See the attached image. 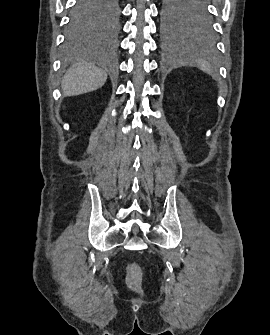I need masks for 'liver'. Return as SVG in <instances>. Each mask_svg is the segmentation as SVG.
<instances>
[{
  "label": "liver",
  "instance_id": "liver-1",
  "mask_svg": "<svg viewBox=\"0 0 270 335\" xmlns=\"http://www.w3.org/2000/svg\"><path fill=\"white\" fill-rule=\"evenodd\" d=\"M106 80L104 70H99L92 64H77L65 74L61 86L64 96H79L102 88Z\"/></svg>",
  "mask_w": 270,
  "mask_h": 335
}]
</instances>
